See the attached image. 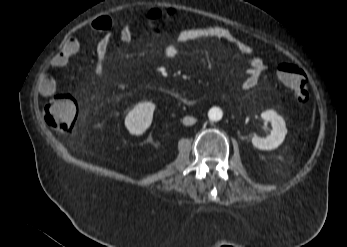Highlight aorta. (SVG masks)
I'll list each match as a JSON object with an SVG mask.
<instances>
[{
    "label": "aorta",
    "mask_w": 347,
    "mask_h": 247,
    "mask_svg": "<svg viewBox=\"0 0 347 247\" xmlns=\"http://www.w3.org/2000/svg\"><path fill=\"white\" fill-rule=\"evenodd\" d=\"M208 117H209L211 122H216V121L221 120V118H222L221 109L217 108V107L211 108L208 112Z\"/></svg>",
    "instance_id": "obj_1"
}]
</instances>
